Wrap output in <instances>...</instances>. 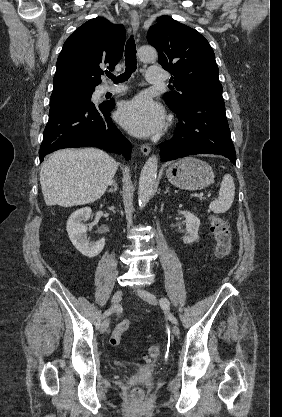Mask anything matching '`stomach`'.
<instances>
[{"instance_id":"0dacf381","label":"stomach","mask_w":282,"mask_h":417,"mask_svg":"<svg viewBox=\"0 0 282 417\" xmlns=\"http://www.w3.org/2000/svg\"><path fill=\"white\" fill-rule=\"evenodd\" d=\"M166 176L171 184L185 190H200L214 182L212 166L205 160L193 156H185L177 162H172L166 170Z\"/></svg>"}]
</instances>
